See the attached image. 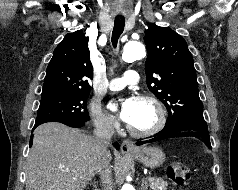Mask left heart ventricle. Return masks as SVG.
Instances as JSON below:
<instances>
[{
	"label": "left heart ventricle",
	"instance_id": "1",
	"mask_svg": "<svg viewBox=\"0 0 238 190\" xmlns=\"http://www.w3.org/2000/svg\"><path fill=\"white\" fill-rule=\"evenodd\" d=\"M155 120L156 114L153 107L146 102L136 100L135 112L128 124L133 128L143 130L151 127Z\"/></svg>",
	"mask_w": 238,
	"mask_h": 190
}]
</instances>
